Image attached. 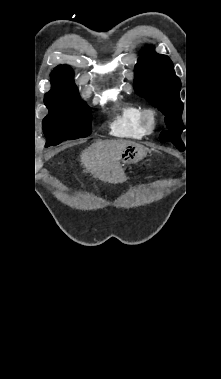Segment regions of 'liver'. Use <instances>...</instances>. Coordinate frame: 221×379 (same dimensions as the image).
Returning <instances> with one entry per match:
<instances>
[{
  "mask_svg": "<svg viewBox=\"0 0 221 379\" xmlns=\"http://www.w3.org/2000/svg\"><path fill=\"white\" fill-rule=\"evenodd\" d=\"M134 144L126 140L97 141L81 153V164L93 177L104 182L118 183L124 180L120 165L123 150Z\"/></svg>",
  "mask_w": 221,
  "mask_h": 379,
  "instance_id": "obj_1",
  "label": "liver"
}]
</instances>
